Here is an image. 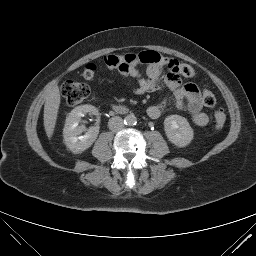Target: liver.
I'll list each match as a JSON object with an SVG mask.
<instances>
[{
  "label": "liver",
  "mask_w": 256,
  "mask_h": 256,
  "mask_svg": "<svg viewBox=\"0 0 256 256\" xmlns=\"http://www.w3.org/2000/svg\"><path fill=\"white\" fill-rule=\"evenodd\" d=\"M59 106L60 92L58 86H54L47 95L44 105V128L49 139L54 133Z\"/></svg>",
  "instance_id": "obj_1"
}]
</instances>
